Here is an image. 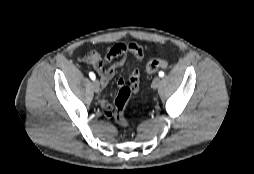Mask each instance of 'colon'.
I'll return each instance as SVG.
<instances>
[{"label": "colon", "instance_id": "obj_1", "mask_svg": "<svg viewBox=\"0 0 254 174\" xmlns=\"http://www.w3.org/2000/svg\"><path fill=\"white\" fill-rule=\"evenodd\" d=\"M123 45V44H120ZM126 46V45H125ZM168 67V62L164 59H151L146 64L147 73H153L159 69ZM135 92L131 85H124L119 89L118 95L114 101V120L121 127H128L129 120L125 115V107L130 96Z\"/></svg>", "mask_w": 254, "mask_h": 174}]
</instances>
